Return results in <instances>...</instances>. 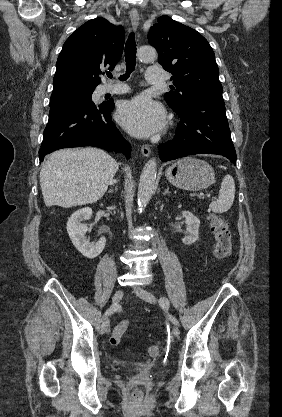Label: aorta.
Wrapping results in <instances>:
<instances>
[{
	"label": "aorta",
	"instance_id": "aorta-1",
	"mask_svg": "<svg viewBox=\"0 0 282 417\" xmlns=\"http://www.w3.org/2000/svg\"><path fill=\"white\" fill-rule=\"evenodd\" d=\"M137 56L139 60H155L157 58V52L153 46H140L137 50ZM156 174V158H150L140 174L137 192L138 213L144 211L145 206H147L151 198L152 190H154L155 186Z\"/></svg>",
	"mask_w": 282,
	"mask_h": 417
}]
</instances>
